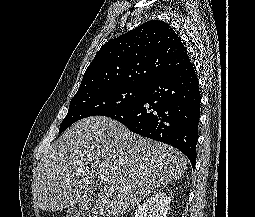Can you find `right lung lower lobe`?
I'll use <instances>...</instances> for the list:
<instances>
[{"mask_svg": "<svg viewBox=\"0 0 255 217\" xmlns=\"http://www.w3.org/2000/svg\"><path fill=\"white\" fill-rule=\"evenodd\" d=\"M194 69L190 61L159 77L146 86L133 105L106 116L134 133L174 146L194 168L201 101Z\"/></svg>", "mask_w": 255, "mask_h": 217, "instance_id": "1", "label": "right lung lower lobe"}]
</instances>
